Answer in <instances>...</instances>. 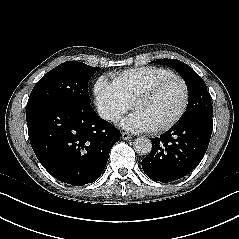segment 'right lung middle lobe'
I'll use <instances>...</instances> for the list:
<instances>
[{"instance_id": "right-lung-middle-lobe-1", "label": "right lung middle lobe", "mask_w": 239, "mask_h": 239, "mask_svg": "<svg viewBox=\"0 0 239 239\" xmlns=\"http://www.w3.org/2000/svg\"><path fill=\"white\" fill-rule=\"evenodd\" d=\"M100 69L74 61L58 65L36 83L27 109L47 104L90 105L88 81Z\"/></svg>"}]
</instances>
